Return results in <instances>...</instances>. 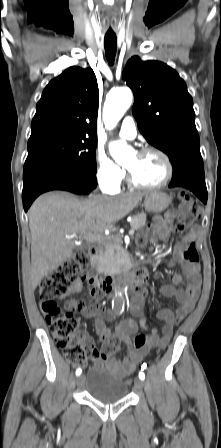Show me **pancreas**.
Masks as SVG:
<instances>
[{
  "mask_svg": "<svg viewBox=\"0 0 221 448\" xmlns=\"http://www.w3.org/2000/svg\"><path fill=\"white\" fill-rule=\"evenodd\" d=\"M146 223V214L133 216L131 227L134 230L142 229ZM100 267L105 273H116L124 265L125 251L122 247V239L119 236L107 238L99 254Z\"/></svg>",
  "mask_w": 221,
  "mask_h": 448,
  "instance_id": "obj_1",
  "label": "pancreas"
}]
</instances>
